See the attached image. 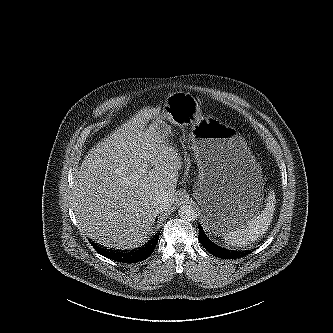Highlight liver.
Returning a JSON list of instances; mask_svg holds the SVG:
<instances>
[{
    "mask_svg": "<svg viewBox=\"0 0 333 333\" xmlns=\"http://www.w3.org/2000/svg\"><path fill=\"white\" fill-rule=\"evenodd\" d=\"M158 112L143 110L124 123L88 152L77 173L76 219L90 239L105 247H138L155 223V198H167L170 207L174 203L182 161L152 124L147 127Z\"/></svg>",
    "mask_w": 333,
    "mask_h": 333,
    "instance_id": "6515ba94",
    "label": "liver"
}]
</instances>
